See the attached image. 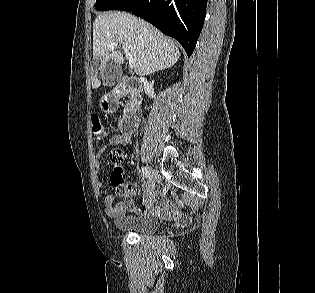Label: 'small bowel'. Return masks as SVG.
Returning a JSON list of instances; mask_svg holds the SVG:
<instances>
[{
    "mask_svg": "<svg viewBox=\"0 0 315 293\" xmlns=\"http://www.w3.org/2000/svg\"><path fill=\"white\" fill-rule=\"evenodd\" d=\"M129 141L128 134H119L113 136L107 146L102 147L98 153L97 158L100 157L105 149L108 146L113 145H125ZM98 169V167H96ZM128 188H132L134 190H124L123 195L125 197V201L116 202L115 197L112 194H106L103 197V201L105 203L106 213L115 216L123 213L127 210L132 202H136L138 194V187L135 184H128ZM97 189L99 191L103 190L102 183L97 181ZM148 189L146 190V194ZM148 213L151 216L158 217L163 220H171L173 218H177L181 224H186L188 222V218L184 216L176 207L175 203L167 200L160 191H152L148 197Z\"/></svg>",
    "mask_w": 315,
    "mask_h": 293,
    "instance_id": "1",
    "label": "small bowel"
}]
</instances>
